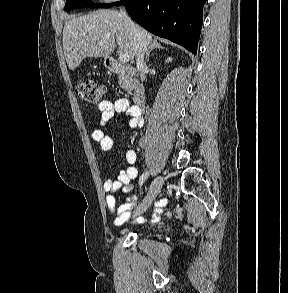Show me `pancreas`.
Masks as SVG:
<instances>
[{"label":"pancreas","instance_id":"1","mask_svg":"<svg viewBox=\"0 0 288 293\" xmlns=\"http://www.w3.org/2000/svg\"><path fill=\"white\" fill-rule=\"evenodd\" d=\"M135 72L131 70L130 67L123 66V70L119 73V84L121 87L126 90L127 92H131L135 87V82L133 76Z\"/></svg>","mask_w":288,"mask_h":293}]
</instances>
